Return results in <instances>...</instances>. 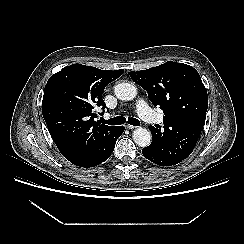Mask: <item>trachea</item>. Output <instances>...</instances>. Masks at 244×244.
<instances>
[{
	"instance_id": "obj_1",
	"label": "trachea",
	"mask_w": 244,
	"mask_h": 244,
	"mask_svg": "<svg viewBox=\"0 0 244 244\" xmlns=\"http://www.w3.org/2000/svg\"><path fill=\"white\" fill-rule=\"evenodd\" d=\"M125 122H126V119L123 116H117L112 119L102 121V123L108 124V125H121V124H124ZM127 123L130 125H134V126H140V121L133 117L128 118Z\"/></svg>"
}]
</instances>
